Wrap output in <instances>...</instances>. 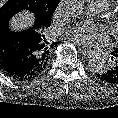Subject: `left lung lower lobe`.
<instances>
[{
  "mask_svg": "<svg viewBox=\"0 0 118 118\" xmlns=\"http://www.w3.org/2000/svg\"><path fill=\"white\" fill-rule=\"evenodd\" d=\"M111 64L105 72L97 74V76L110 84H118V53H111Z\"/></svg>",
  "mask_w": 118,
  "mask_h": 118,
  "instance_id": "obj_1",
  "label": "left lung lower lobe"
}]
</instances>
